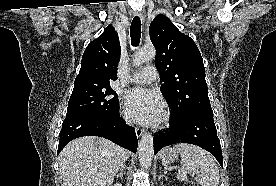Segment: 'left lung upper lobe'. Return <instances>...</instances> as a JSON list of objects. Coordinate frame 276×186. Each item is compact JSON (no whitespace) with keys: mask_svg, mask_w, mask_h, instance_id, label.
<instances>
[{"mask_svg":"<svg viewBox=\"0 0 276 186\" xmlns=\"http://www.w3.org/2000/svg\"><path fill=\"white\" fill-rule=\"evenodd\" d=\"M149 32L157 51L155 66L163 82L160 89L171 109L172 118L213 112L203 59L193 39L181 33L162 14L151 22Z\"/></svg>","mask_w":276,"mask_h":186,"instance_id":"1","label":"left lung upper lobe"}]
</instances>
